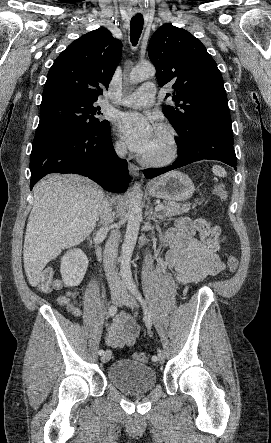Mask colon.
<instances>
[{"instance_id": "colon-1", "label": "colon", "mask_w": 271, "mask_h": 443, "mask_svg": "<svg viewBox=\"0 0 271 443\" xmlns=\"http://www.w3.org/2000/svg\"><path fill=\"white\" fill-rule=\"evenodd\" d=\"M214 194L220 201H225L228 197L227 188L223 183H219L214 187ZM195 228L200 234L201 241L212 251H217L222 243V235L220 228L212 224L209 220L199 218L195 221ZM228 268L230 272H235L238 267V260L235 256H228L227 259ZM54 272L51 268H47L43 271L39 282V288L43 292H48L53 286ZM57 284V283H56ZM56 284L54 285L56 287ZM134 359L145 363L148 361V357L145 353H135Z\"/></svg>"}]
</instances>
